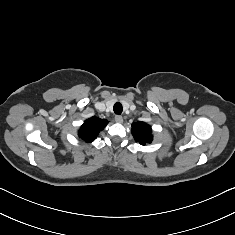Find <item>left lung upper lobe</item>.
<instances>
[{"instance_id": "obj_1", "label": "left lung upper lobe", "mask_w": 235, "mask_h": 235, "mask_svg": "<svg viewBox=\"0 0 235 235\" xmlns=\"http://www.w3.org/2000/svg\"><path fill=\"white\" fill-rule=\"evenodd\" d=\"M132 134L134 139L141 145H146L152 142V129L145 122H135L132 124Z\"/></svg>"}]
</instances>
